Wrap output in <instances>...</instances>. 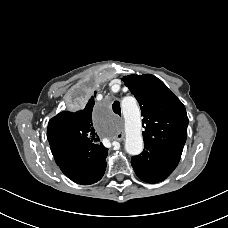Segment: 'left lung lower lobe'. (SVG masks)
Masks as SVG:
<instances>
[{
	"mask_svg": "<svg viewBox=\"0 0 228 228\" xmlns=\"http://www.w3.org/2000/svg\"><path fill=\"white\" fill-rule=\"evenodd\" d=\"M144 146V151L131 160L136 175L148 183L163 181L178 165L182 151L155 145Z\"/></svg>",
	"mask_w": 228,
	"mask_h": 228,
	"instance_id": "0a47b994",
	"label": "left lung lower lobe"
}]
</instances>
